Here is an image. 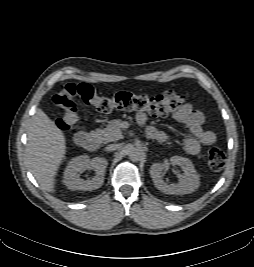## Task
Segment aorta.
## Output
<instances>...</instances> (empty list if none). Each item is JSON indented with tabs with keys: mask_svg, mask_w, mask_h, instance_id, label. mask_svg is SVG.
Returning a JSON list of instances; mask_svg holds the SVG:
<instances>
[{
	"mask_svg": "<svg viewBox=\"0 0 254 267\" xmlns=\"http://www.w3.org/2000/svg\"><path fill=\"white\" fill-rule=\"evenodd\" d=\"M127 154L132 161H140L143 158V151L136 146L130 145L127 148Z\"/></svg>",
	"mask_w": 254,
	"mask_h": 267,
	"instance_id": "1",
	"label": "aorta"
}]
</instances>
